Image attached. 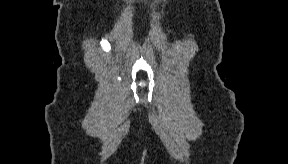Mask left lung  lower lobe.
<instances>
[{"instance_id":"obj_1","label":"left lung lower lobe","mask_w":288,"mask_h":164,"mask_svg":"<svg viewBox=\"0 0 288 164\" xmlns=\"http://www.w3.org/2000/svg\"><path fill=\"white\" fill-rule=\"evenodd\" d=\"M247 79L250 83H252L253 85H260L263 81V74L260 70L258 69H252L249 71V73L247 74Z\"/></svg>"}]
</instances>
